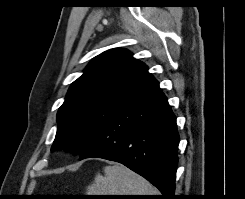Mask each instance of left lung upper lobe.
<instances>
[{"mask_svg":"<svg viewBox=\"0 0 245 199\" xmlns=\"http://www.w3.org/2000/svg\"><path fill=\"white\" fill-rule=\"evenodd\" d=\"M144 63L127 50L115 48L95 57L72 83L57 114L51 150L82 154L102 126L154 81Z\"/></svg>","mask_w":245,"mask_h":199,"instance_id":"5c2ea615","label":"left lung upper lobe"}]
</instances>
